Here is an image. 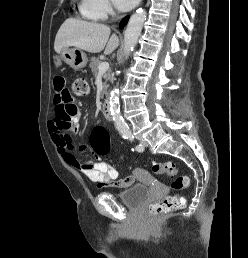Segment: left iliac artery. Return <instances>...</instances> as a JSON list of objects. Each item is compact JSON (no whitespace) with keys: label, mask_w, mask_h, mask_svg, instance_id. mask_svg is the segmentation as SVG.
Listing matches in <instances>:
<instances>
[{"label":"left iliac artery","mask_w":248,"mask_h":258,"mask_svg":"<svg viewBox=\"0 0 248 258\" xmlns=\"http://www.w3.org/2000/svg\"><path fill=\"white\" fill-rule=\"evenodd\" d=\"M126 138L129 139L130 141H133V140H134V136H133L132 134L127 135ZM135 149H136V151H138V152H142V151L144 150V147H143L141 144H139V145H137V146L135 147Z\"/></svg>","instance_id":"left-iliac-artery-1"}]
</instances>
